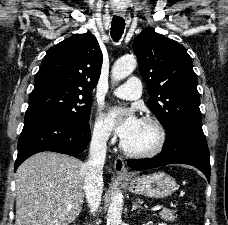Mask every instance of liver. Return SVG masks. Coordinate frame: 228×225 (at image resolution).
<instances>
[{"label": "liver", "instance_id": "1", "mask_svg": "<svg viewBox=\"0 0 228 225\" xmlns=\"http://www.w3.org/2000/svg\"><path fill=\"white\" fill-rule=\"evenodd\" d=\"M85 173L75 157L49 151L29 157L15 173V225L73 223L83 205Z\"/></svg>", "mask_w": 228, "mask_h": 225}]
</instances>
